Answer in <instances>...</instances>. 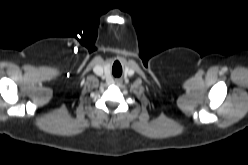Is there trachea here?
Wrapping results in <instances>:
<instances>
[{"instance_id":"1","label":"trachea","mask_w":248,"mask_h":165,"mask_svg":"<svg viewBox=\"0 0 248 165\" xmlns=\"http://www.w3.org/2000/svg\"><path fill=\"white\" fill-rule=\"evenodd\" d=\"M113 74H114V76H120V74H121V73H117V74H115V73L113 72Z\"/></svg>"}]
</instances>
